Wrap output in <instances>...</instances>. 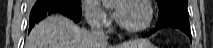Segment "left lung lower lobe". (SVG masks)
I'll use <instances>...</instances> for the list:
<instances>
[{
    "mask_svg": "<svg viewBox=\"0 0 213 48\" xmlns=\"http://www.w3.org/2000/svg\"><path fill=\"white\" fill-rule=\"evenodd\" d=\"M167 27L179 28L187 34V36L192 40L190 26H189V16H183L179 14H168L162 18L158 19L156 27L144 36H149L152 33Z\"/></svg>",
    "mask_w": 213,
    "mask_h": 48,
    "instance_id": "0a47b994",
    "label": "left lung lower lobe"
}]
</instances>
